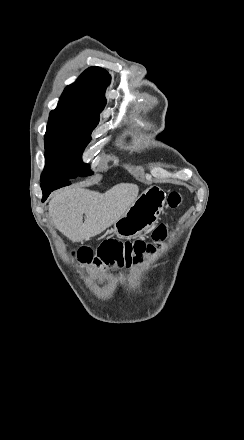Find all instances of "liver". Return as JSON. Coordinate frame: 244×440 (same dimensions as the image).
<instances>
[{
    "label": "liver",
    "mask_w": 244,
    "mask_h": 440,
    "mask_svg": "<svg viewBox=\"0 0 244 440\" xmlns=\"http://www.w3.org/2000/svg\"><path fill=\"white\" fill-rule=\"evenodd\" d=\"M138 194L136 184H117L105 194L85 188H64L50 200L48 212L59 232L71 242H83L122 218Z\"/></svg>",
    "instance_id": "1"
}]
</instances>
